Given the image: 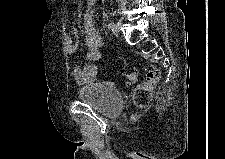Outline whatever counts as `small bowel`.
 I'll list each match as a JSON object with an SVG mask.
<instances>
[{
    "mask_svg": "<svg viewBox=\"0 0 225 159\" xmlns=\"http://www.w3.org/2000/svg\"><path fill=\"white\" fill-rule=\"evenodd\" d=\"M95 0H87V9L84 14V43L86 47L85 62L72 67V75L80 85L90 84L97 78L98 66L96 62L102 57L103 40L94 23L93 7ZM67 53L74 55L79 47V35L75 28L72 35L67 37Z\"/></svg>",
    "mask_w": 225,
    "mask_h": 159,
    "instance_id": "small-bowel-1",
    "label": "small bowel"
}]
</instances>
